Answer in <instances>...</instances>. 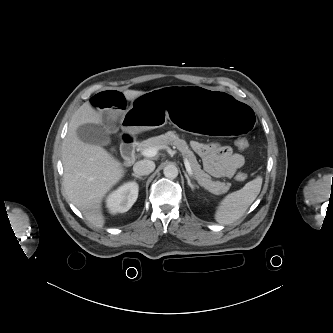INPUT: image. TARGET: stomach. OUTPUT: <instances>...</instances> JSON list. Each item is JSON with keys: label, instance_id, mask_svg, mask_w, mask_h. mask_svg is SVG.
Returning a JSON list of instances; mask_svg holds the SVG:
<instances>
[{"label": "stomach", "instance_id": "stomach-1", "mask_svg": "<svg viewBox=\"0 0 333 333\" xmlns=\"http://www.w3.org/2000/svg\"><path fill=\"white\" fill-rule=\"evenodd\" d=\"M173 122L192 134L241 139L254 130L256 117L246 103L227 95L186 85L164 86L133 100L123 128L138 134Z\"/></svg>", "mask_w": 333, "mask_h": 333}]
</instances>
